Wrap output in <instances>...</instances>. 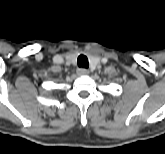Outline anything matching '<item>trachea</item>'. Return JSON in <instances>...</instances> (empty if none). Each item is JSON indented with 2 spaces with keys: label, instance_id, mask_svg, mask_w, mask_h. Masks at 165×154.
Here are the masks:
<instances>
[{
  "label": "trachea",
  "instance_id": "1",
  "mask_svg": "<svg viewBox=\"0 0 165 154\" xmlns=\"http://www.w3.org/2000/svg\"><path fill=\"white\" fill-rule=\"evenodd\" d=\"M77 62L78 66L82 68H88L89 66L88 59L85 55H80L77 59Z\"/></svg>",
  "mask_w": 165,
  "mask_h": 154
}]
</instances>
